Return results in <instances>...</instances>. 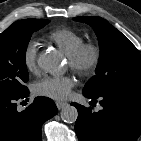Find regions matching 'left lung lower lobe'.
I'll return each instance as SVG.
<instances>
[{"label": "left lung lower lobe", "instance_id": "1", "mask_svg": "<svg viewBox=\"0 0 141 141\" xmlns=\"http://www.w3.org/2000/svg\"><path fill=\"white\" fill-rule=\"evenodd\" d=\"M89 99L100 100L103 107L92 112L77 103L75 131L79 141H136L141 134V93L110 90L99 96L83 92Z\"/></svg>", "mask_w": 141, "mask_h": 141}]
</instances>
